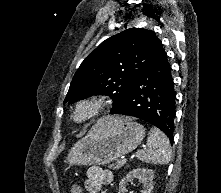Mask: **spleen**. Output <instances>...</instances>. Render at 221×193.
<instances>
[{
    "label": "spleen",
    "mask_w": 221,
    "mask_h": 193,
    "mask_svg": "<svg viewBox=\"0 0 221 193\" xmlns=\"http://www.w3.org/2000/svg\"><path fill=\"white\" fill-rule=\"evenodd\" d=\"M137 158L151 164H168L171 159L169 139L157 128H151L147 148L137 152Z\"/></svg>",
    "instance_id": "obj_1"
}]
</instances>
